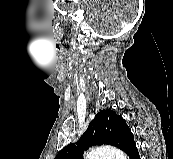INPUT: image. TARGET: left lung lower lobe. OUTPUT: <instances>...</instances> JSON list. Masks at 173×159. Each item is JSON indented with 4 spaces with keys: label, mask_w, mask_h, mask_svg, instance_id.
Segmentation results:
<instances>
[{
    "label": "left lung lower lobe",
    "mask_w": 173,
    "mask_h": 159,
    "mask_svg": "<svg viewBox=\"0 0 173 159\" xmlns=\"http://www.w3.org/2000/svg\"><path fill=\"white\" fill-rule=\"evenodd\" d=\"M126 154L130 159H140L136 145H133Z\"/></svg>",
    "instance_id": "0a47b994"
}]
</instances>
